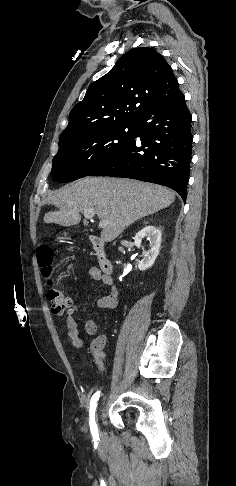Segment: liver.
<instances>
[{"label": "liver", "mask_w": 236, "mask_h": 486, "mask_svg": "<svg viewBox=\"0 0 236 486\" xmlns=\"http://www.w3.org/2000/svg\"><path fill=\"white\" fill-rule=\"evenodd\" d=\"M175 194L166 187L130 179L86 177L71 183L46 199L59 211L44 216L45 223L69 227L81 221L80 213L93 210L105 222L101 238L116 239L135 221L171 205Z\"/></svg>", "instance_id": "obj_1"}]
</instances>
